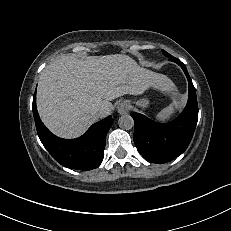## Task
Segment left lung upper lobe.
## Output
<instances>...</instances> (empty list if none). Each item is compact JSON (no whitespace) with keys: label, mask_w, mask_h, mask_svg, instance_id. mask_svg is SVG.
<instances>
[{"label":"left lung upper lobe","mask_w":231,"mask_h":231,"mask_svg":"<svg viewBox=\"0 0 231 231\" xmlns=\"http://www.w3.org/2000/svg\"><path fill=\"white\" fill-rule=\"evenodd\" d=\"M163 54L166 56V57H169V58H172L173 56H171L169 53H167L166 51L162 50Z\"/></svg>","instance_id":"1"}]
</instances>
